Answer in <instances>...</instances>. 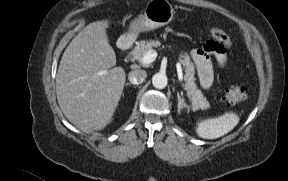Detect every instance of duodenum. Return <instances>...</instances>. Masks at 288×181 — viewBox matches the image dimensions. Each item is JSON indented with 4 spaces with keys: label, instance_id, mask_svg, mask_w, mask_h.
Returning <instances> with one entry per match:
<instances>
[{
    "label": "duodenum",
    "instance_id": "duodenum-1",
    "mask_svg": "<svg viewBox=\"0 0 288 181\" xmlns=\"http://www.w3.org/2000/svg\"><path fill=\"white\" fill-rule=\"evenodd\" d=\"M133 41L130 37H122L119 40V48L123 51H129L132 49Z\"/></svg>",
    "mask_w": 288,
    "mask_h": 181
}]
</instances>
